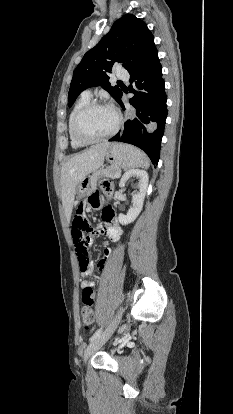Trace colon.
Masks as SVG:
<instances>
[{"instance_id": "1", "label": "colon", "mask_w": 233, "mask_h": 414, "mask_svg": "<svg viewBox=\"0 0 233 414\" xmlns=\"http://www.w3.org/2000/svg\"><path fill=\"white\" fill-rule=\"evenodd\" d=\"M105 191H109L110 184L108 182L103 183ZM89 232L90 226L86 220L82 210H78L73 217V240L77 251L78 262L80 270L86 271L91 265L89 257L88 246H89ZM94 291L92 287H86L82 291V324L85 328H89L94 322L95 314L93 310L94 304Z\"/></svg>"}]
</instances>
